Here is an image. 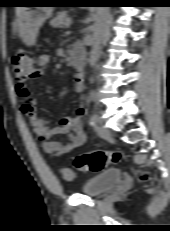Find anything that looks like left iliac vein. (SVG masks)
<instances>
[{
	"instance_id": "obj_1",
	"label": "left iliac vein",
	"mask_w": 170,
	"mask_h": 231,
	"mask_svg": "<svg viewBox=\"0 0 170 231\" xmlns=\"http://www.w3.org/2000/svg\"><path fill=\"white\" fill-rule=\"evenodd\" d=\"M96 132L100 137H102L104 139H108L111 136V132H110L109 128H107L105 126L98 125L96 127Z\"/></svg>"
}]
</instances>
